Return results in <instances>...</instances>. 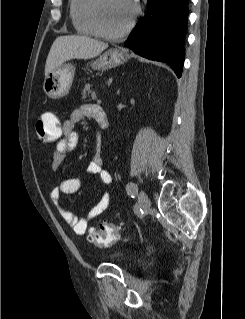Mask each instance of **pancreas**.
I'll return each mask as SVG.
<instances>
[{
	"label": "pancreas",
	"mask_w": 245,
	"mask_h": 319,
	"mask_svg": "<svg viewBox=\"0 0 245 319\" xmlns=\"http://www.w3.org/2000/svg\"><path fill=\"white\" fill-rule=\"evenodd\" d=\"M91 93V84L87 83L82 91L83 99L87 98Z\"/></svg>",
	"instance_id": "pancreas-1"
}]
</instances>
